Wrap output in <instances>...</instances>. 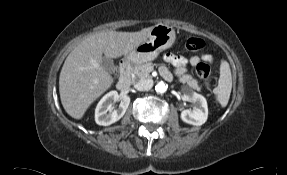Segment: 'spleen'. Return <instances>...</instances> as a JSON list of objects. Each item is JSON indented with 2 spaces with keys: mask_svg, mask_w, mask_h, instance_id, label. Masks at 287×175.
<instances>
[{
  "mask_svg": "<svg viewBox=\"0 0 287 175\" xmlns=\"http://www.w3.org/2000/svg\"><path fill=\"white\" fill-rule=\"evenodd\" d=\"M232 90V75L229 63L225 60L221 61L220 65V78L218 86L215 90L216 100L222 107L228 104Z\"/></svg>",
  "mask_w": 287,
  "mask_h": 175,
  "instance_id": "1",
  "label": "spleen"
}]
</instances>
